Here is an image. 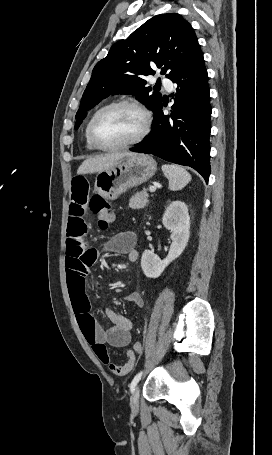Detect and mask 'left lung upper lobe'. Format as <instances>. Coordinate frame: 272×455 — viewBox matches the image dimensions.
Returning <instances> with one entry per match:
<instances>
[{
    "label": "left lung upper lobe",
    "mask_w": 272,
    "mask_h": 455,
    "mask_svg": "<svg viewBox=\"0 0 272 455\" xmlns=\"http://www.w3.org/2000/svg\"><path fill=\"white\" fill-rule=\"evenodd\" d=\"M192 26L177 13L157 15L127 39L116 42L108 55L93 69L76 114L77 129L86 112L111 94H131L151 110L162 95L146 87L144 76L154 75L152 67L170 78L202 56Z\"/></svg>",
    "instance_id": "5c2ea615"
}]
</instances>
